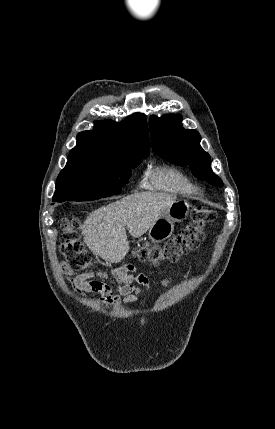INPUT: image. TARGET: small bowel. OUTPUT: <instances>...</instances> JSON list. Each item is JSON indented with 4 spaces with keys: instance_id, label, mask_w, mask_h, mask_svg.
<instances>
[{
    "instance_id": "obj_1",
    "label": "small bowel",
    "mask_w": 275,
    "mask_h": 429,
    "mask_svg": "<svg viewBox=\"0 0 275 429\" xmlns=\"http://www.w3.org/2000/svg\"><path fill=\"white\" fill-rule=\"evenodd\" d=\"M67 273V280L72 284L75 291L82 294L84 291L96 292L101 294L102 300L106 304L120 306L122 304L130 305L138 302V297L142 293V288L148 289L150 286V277L145 274H135L136 267L132 264H126L114 271L113 276L106 273H82L71 275L70 270L63 266ZM110 280L116 284L117 294H114L111 286L106 282ZM170 278L163 280L167 284ZM137 283L141 287L136 286Z\"/></svg>"
}]
</instances>
